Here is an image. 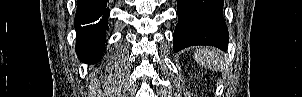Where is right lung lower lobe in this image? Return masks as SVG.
<instances>
[{"instance_id": "obj_1", "label": "right lung lower lobe", "mask_w": 302, "mask_h": 97, "mask_svg": "<svg viewBox=\"0 0 302 97\" xmlns=\"http://www.w3.org/2000/svg\"><path fill=\"white\" fill-rule=\"evenodd\" d=\"M77 4L75 49L81 61L92 64L102 56L109 8L107 0H77Z\"/></svg>"}]
</instances>
